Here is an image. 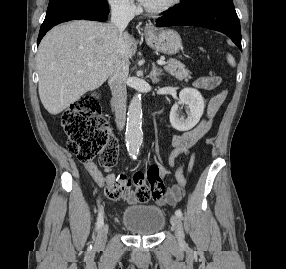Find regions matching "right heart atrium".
<instances>
[{"mask_svg": "<svg viewBox=\"0 0 286 269\" xmlns=\"http://www.w3.org/2000/svg\"><path fill=\"white\" fill-rule=\"evenodd\" d=\"M107 1L112 9L122 14L132 15L137 10L133 0H107Z\"/></svg>", "mask_w": 286, "mask_h": 269, "instance_id": "1", "label": "right heart atrium"}]
</instances>
